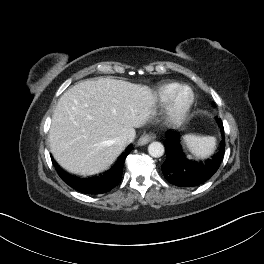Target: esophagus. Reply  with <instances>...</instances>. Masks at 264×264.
<instances>
[{
	"label": "esophagus",
	"mask_w": 264,
	"mask_h": 264,
	"mask_svg": "<svg viewBox=\"0 0 264 264\" xmlns=\"http://www.w3.org/2000/svg\"><path fill=\"white\" fill-rule=\"evenodd\" d=\"M155 135L154 134H150V133H144L139 139L137 144L140 146L146 145L149 142H151L152 140L155 139Z\"/></svg>",
	"instance_id": "1"
}]
</instances>
